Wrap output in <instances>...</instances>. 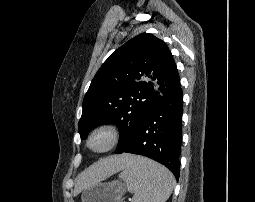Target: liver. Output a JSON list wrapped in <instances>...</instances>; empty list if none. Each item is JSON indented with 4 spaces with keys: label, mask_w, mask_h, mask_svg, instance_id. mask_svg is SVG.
Returning <instances> with one entry per match:
<instances>
[{
    "label": "liver",
    "mask_w": 255,
    "mask_h": 202,
    "mask_svg": "<svg viewBox=\"0 0 255 202\" xmlns=\"http://www.w3.org/2000/svg\"><path fill=\"white\" fill-rule=\"evenodd\" d=\"M133 155L121 154L113 155L105 159H101L97 163L88 167L77 177L75 185V193L81 192L86 187L100 182L112 174L122 170L125 165L133 159Z\"/></svg>",
    "instance_id": "1"
}]
</instances>
